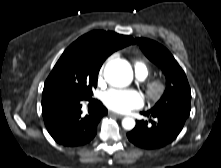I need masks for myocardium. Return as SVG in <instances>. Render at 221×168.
Returning <instances> with one entry per match:
<instances>
[{
	"mask_svg": "<svg viewBox=\"0 0 221 168\" xmlns=\"http://www.w3.org/2000/svg\"><path fill=\"white\" fill-rule=\"evenodd\" d=\"M166 90L167 85L160 78L150 79L145 85L146 95L152 102L160 101L164 97Z\"/></svg>",
	"mask_w": 221,
	"mask_h": 168,
	"instance_id": "myocardium-1",
	"label": "myocardium"
}]
</instances>
